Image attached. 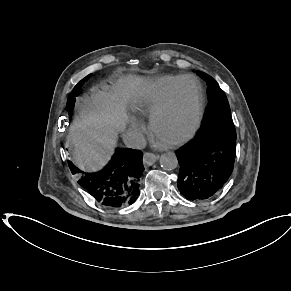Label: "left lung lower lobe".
Here are the masks:
<instances>
[{"mask_svg": "<svg viewBox=\"0 0 291 291\" xmlns=\"http://www.w3.org/2000/svg\"><path fill=\"white\" fill-rule=\"evenodd\" d=\"M235 155L236 139L197 133L176 151L180 193L192 201L215 196L232 174Z\"/></svg>", "mask_w": 291, "mask_h": 291, "instance_id": "1", "label": "left lung lower lobe"}]
</instances>
